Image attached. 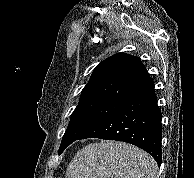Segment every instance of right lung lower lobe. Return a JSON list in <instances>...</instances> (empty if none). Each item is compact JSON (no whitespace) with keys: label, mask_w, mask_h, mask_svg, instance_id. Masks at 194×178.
<instances>
[{"label":"right lung lower lobe","mask_w":194,"mask_h":178,"mask_svg":"<svg viewBox=\"0 0 194 178\" xmlns=\"http://www.w3.org/2000/svg\"><path fill=\"white\" fill-rule=\"evenodd\" d=\"M162 114L155 91L123 103L78 138H100L131 143L162 162Z\"/></svg>","instance_id":"obj_1"}]
</instances>
